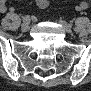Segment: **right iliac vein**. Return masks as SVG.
I'll return each mask as SVG.
<instances>
[{"label": "right iliac vein", "instance_id": "obj_1", "mask_svg": "<svg viewBox=\"0 0 91 91\" xmlns=\"http://www.w3.org/2000/svg\"><path fill=\"white\" fill-rule=\"evenodd\" d=\"M30 28V21H23L22 25H21V30L23 32H27Z\"/></svg>", "mask_w": 91, "mask_h": 91}]
</instances>
